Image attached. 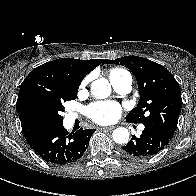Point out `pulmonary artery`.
<instances>
[{
	"label": "pulmonary artery",
	"mask_w": 196,
	"mask_h": 196,
	"mask_svg": "<svg viewBox=\"0 0 196 196\" xmlns=\"http://www.w3.org/2000/svg\"><path fill=\"white\" fill-rule=\"evenodd\" d=\"M113 88L121 94L128 93L131 90L132 86V76L130 73L126 72L124 75L119 78L111 80ZM71 119L75 118L74 114L70 115ZM144 129V126H140V131Z\"/></svg>",
	"instance_id": "obj_1"
}]
</instances>
